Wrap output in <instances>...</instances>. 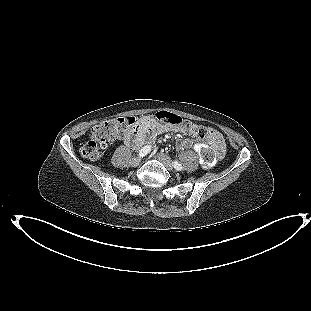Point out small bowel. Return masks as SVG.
Masks as SVG:
<instances>
[{
  "label": "small bowel",
  "mask_w": 311,
  "mask_h": 311,
  "mask_svg": "<svg viewBox=\"0 0 311 311\" xmlns=\"http://www.w3.org/2000/svg\"><path fill=\"white\" fill-rule=\"evenodd\" d=\"M168 131L183 132L178 127L163 125L150 116H144L139 120L136 128L125 137V144L137 149L145 143L152 142L158 135ZM210 133L212 135L211 144L213 147H218L219 143L224 145L222 136L219 132L211 129ZM218 139L221 141L219 142ZM189 144V140H177L176 147L178 149H183Z\"/></svg>",
  "instance_id": "1"
}]
</instances>
